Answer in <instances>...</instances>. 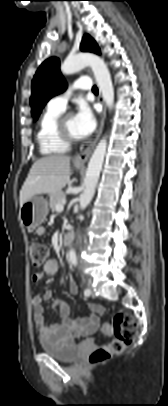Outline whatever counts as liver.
Here are the masks:
<instances>
[{"label": "liver", "mask_w": 168, "mask_h": 406, "mask_svg": "<svg viewBox=\"0 0 168 406\" xmlns=\"http://www.w3.org/2000/svg\"><path fill=\"white\" fill-rule=\"evenodd\" d=\"M70 157L51 155L38 159L32 165L20 191V207L39 194L53 195L70 180Z\"/></svg>", "instance_id": "6515ba94"}]
</instances>
